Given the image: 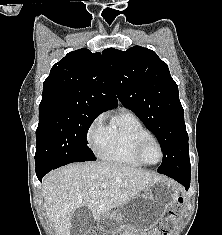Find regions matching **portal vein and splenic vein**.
Masks as SVG:
<instances>
[{
	"instance_id": "1",
	"label": "portal vein and splenic vein",
	"mask_w": 222,
	"mask_h": 235,
	"mask_svg": "<svg viewBox=\"0 0 222 235\" xmlns=\"http://www.w3.org/2000/svg\"><path fill=\"white\" fill-rule=\"evenodd\" d=\"M108 187V184L107 183H102L101 184V188H107Z\"/></svg>"
}]
</instances>
